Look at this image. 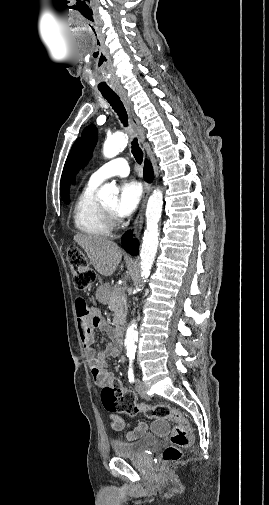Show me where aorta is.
I'll return each mask as SVG.
<instances>
[{
  "instance_id": "1",
  "label": "aorta",
  "mask_w": 269,
  "mask_h": 505,
  "mask_svg": "<svg viewBox=\"0 0 269 505\" xmlns=\"http://www.w3.org/2000/svg\"><path fill=\"white\" fill-rule=\"evenodd\" d=\"M128 137L123 132H116L107 137L103 145V155L106 158L117 156L127 145ZM118 188L112 184H104L98 190V197L103 202H112L117 200ZM163 207V193L157 188L150 195L146 208V230L144 232L140 259H141V277L144 282L150 275V270L155 260L158 248L159 227L158 222L161 218ZM140 291L141 289L138 288ZM137 331L133 320L128 326L125 338V347L128 352L136 350Z\"/></svg>"
}]
</instances>
